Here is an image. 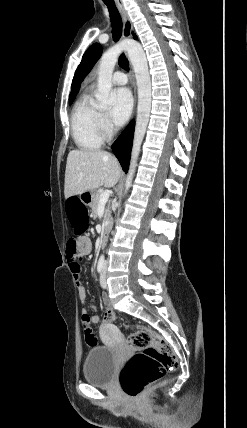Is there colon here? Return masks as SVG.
<instances>
[{"instance_id":"1","label":"colon","mask_w":247,"mask_h":428,"mask_svg":"<svg viewBox=\"0 0 247 428\" xmlns=\"http://www.w3.org/2000/svg\"><path fill=\"white\" fill-rule=\"evenodd\" d=\"M64 207L66 208L64 225L69 232H77L79 238L82 237V232H90L92 218L87 217L88 210L80 194H69L64 200ZM77 237H71L67 243V252L72 255L77 252ZM116 320V312L104 311L103 324L111 325ZM82 324L87 345H96L97 338L89 319L83 317ZM128 344L138 350L127 360L120 373V385L128 397H137L146 385L177 368V357L171 345L148 328L136 327L128 337Z\"/></svg>"}]
</instances>
